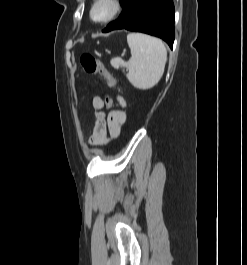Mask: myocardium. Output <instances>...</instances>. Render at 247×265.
<instances>
[{"label":"myocardium","mask_w":247,"mask_h":265,"mask_svg":"<svg viewBox=\"0 0 247 265\" xmlns=\"http://www.w3.org/2000/svg\"><path fill=\"white\" fill-rule=\"evenodd\" d=\"M101 4L107 5L108 12L104 17L96 18L95 10ZM124 7L125 3L123 0H94L90 8L89 15L93 22L98 24H106L121 15L124 10Z\"/></svg>","instance_id":"1"}]
</instances>
